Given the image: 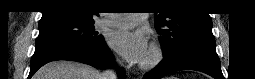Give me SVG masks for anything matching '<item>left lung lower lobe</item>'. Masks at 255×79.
<instances>
[{
  "label": "left lung lower lobe",
  "mask_w": 255,
  "mask_h": 79,
  "mask_svg": "<svg viewBox=\"0 0 255 79\" xmlns=\"http://www.w3.org/2000/svg\"><path fill=\"white\" fill-rule=\"evenodd\" d=\"M215 40H196L182 46L164 60L143 79H160L180 70H198L215 79H224L216 53Z\"/></svg>",
  "instance_id": "0a47b994"
}]
</instances>
